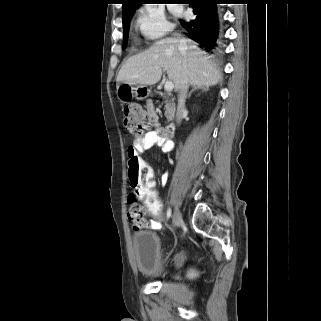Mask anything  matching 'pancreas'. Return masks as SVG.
<instances>
[{
    "instance_id": "cf45deb5",
    "label": "pancreas",
    "mask_w": 321,
    "mask_h": 321,
    "mask_svg": "<svg viewBox=\"0 0 321 321\" xmlns=\"http://www.w3.org/2000/svg\"><path fill=\"white\" fill-rule=\"evenodd\" d=\"M175 113V104L170 100L165 101V116L167 120L172 119Z\"/></svg>"
}]
</instances>
